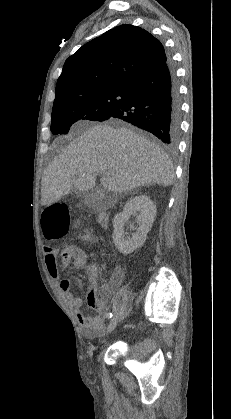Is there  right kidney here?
Returning <instances> with one entry per match:
<instances>
[{
	"mask_svg": "<svg viewBox=\"0 0 231 419\" xmlns=\"http://www.w3.org/2000/svg\"><path fill=\"white\" fill-rule=\"evenodd\" d=\"M132 215H136L138 227L132 237H125L124 226ZM156 216V205L147 195L130 198L123 212L116 214L113 219V242L122 254H130L141 247L150 231ZM134 230V228H133Z\"/></svg>",
	"mask_w": 231,
	"mask_h": 419,
	"instance_id": "1",
	"label": "right kidney"
}]
</instances>
